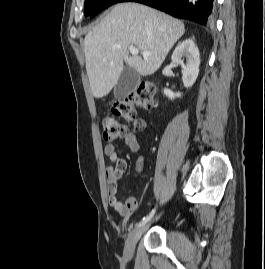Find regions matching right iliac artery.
Masks as SVG:
<instances>
[{"label": "right iliac artery", "instance_id": "1", "mask_svg": "<svg viewBox=\"0 0 265 269\" xmlns=\"http://www.w3.org/2000/svg\"><path fill=\"white\" fill-rule=\"evenodd\" d=\"M154 213H155V209H153V210L149 213V215H147L146 217H144V218L137 224V227L146 224V223L153 217Z\"/></svg>", "mask_w": 265, "mask_h": 269}]
</instances>
